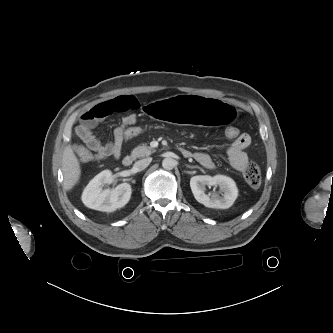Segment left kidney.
<instances>
[{
  "label": "left kidney",
  "instance_id": "obj_1",
  "mask_svg": "<svg viewBox=\"0 0 333 333\" xmlns=\"http://www.w3.org/2000/svg\"><path fill=\"white\" fill-rule=\"evenodd\" d=\"M206 186H219L223 193L222 196L214 193L206 194ZM190 187L195 199L209 208L227 209L233 205L238 196L235 182L224 175L194 176L190 180Z\"/></svg>",
  "mask_w": 333,
  "mask_h": 333
}]
</instances>
